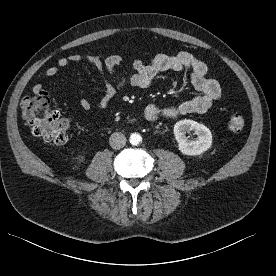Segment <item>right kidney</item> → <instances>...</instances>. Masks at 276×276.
Segmentation results:
<instances>
[{
  "mask_svg": "<svg viewBox=\"0 0 276 276\" xmlns=\"http://www.w3.org/2000/svg\"><path fill=\"white\" fill-rule=\"evenodd\" d=\"M76 159L78 160V162H83L84 161V157L83 156H79Z\"/></svg>",
  "mask_w": 276,
  "mask_h": 276,
  "instance_id": "right-kidney-1",
  "label": "right kidney"
}]
</instances>
